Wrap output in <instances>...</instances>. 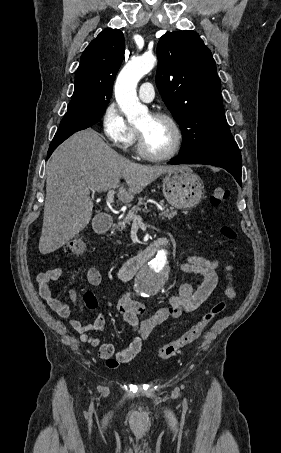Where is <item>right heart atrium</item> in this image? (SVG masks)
<instances>
[{
	"label": "right heart atrium",
	"mask_w": 281,
	"mask_h": 453,
	"mask_svg": "<svg viewBox=\"0 0 281 453\" xmlns=\"http://www.w3.org/2000/svg\"><path fill=\"white\" fill-rule=\"evenodd\" d=\"M129 83L125 81L121 84L116 83L115 91L121 98L127 99L129 95ZM101 124L105 135L117 147L124 146L133 134V127L128 124L124 115L115 103L109 104L101 116ZM113 167L116 171L122 168V156L117 152L110 154Z\"/></svg>",
	"instance_id": "obj_1"
}]
</instances>
